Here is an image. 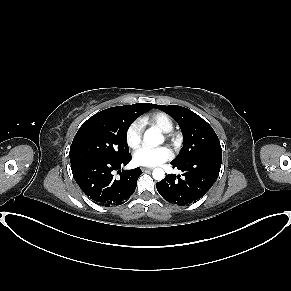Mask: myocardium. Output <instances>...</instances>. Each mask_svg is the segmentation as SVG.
Listing matches in <instances>:
<instances>
[{"label": "myocardium", "mask_w": 291, "mask_h": 291, "mask_svg": "<svg viewBox=\"0 0 291 291\" xmlns=\"http://www.w3.org/2000/svg\"><path fill=\"white\" fill-rule=\"evenodd\" d=\"M169 136H170L169 133H166V138H169Z\"/></svg>", "instance_id": "myocardium-1"}]
</instances>
